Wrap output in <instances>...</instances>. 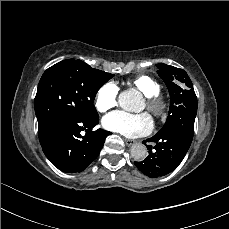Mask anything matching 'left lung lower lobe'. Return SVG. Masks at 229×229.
Returning <instances> with one entry per match:
<instances>
[{
    "mask_svg": "<svg viewBox=\"0 0 229 229\" xmlns=\"http://www.w3.org/2000/svg\"><path fill=\"white\" fill-rule=\"evenodd\" d=\"M147 141L156 143L153 147L155 151L150 150L145 160L134 164L143 174L157 178L177 168L186 155L192 139L182 133L158 132ZM147 148L150 149L151 146Z\"/></svg>",
    "mask_w": 229,
    "mask_h": 229,
    "instance_id": "0a47b994",
    "label": "left lung lower lobe"
}]
</instances>
